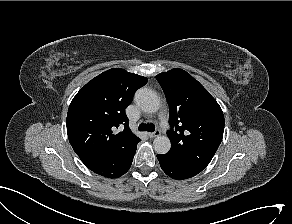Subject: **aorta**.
<instances>
[{"mask_svg": "<svg viewBox=\"0 0 292 224\" xmlns=\"http://www.w3.org/2000/svg\"><path fill=\"white\" fill-rule=\"evenodd\" d=\"M136 104L147 113H155L160 108V100L157 94L148 88H141L135 94ZM156 153L166 154L171 147L170 139L167 136H157L153 141Z\"/></svg>", "mask_w": 292, "mask_h": 224, "instance_id": "762f6f07", "label": "aorta"}]
</instances>
